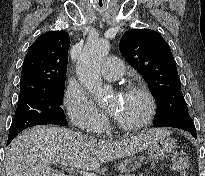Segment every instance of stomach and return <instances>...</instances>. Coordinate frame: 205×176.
<instances>
[{
  "mask_svg": "<svg viewBox=\"0 0 205 176\" xmlns=\"http://www.w3.org/2000/svg\"><path fill=\"white\" fill-rule=\"evenodd\" d=\"M176 143L175 141L170 138L168 135L159 138L153 144L148 147V158L151 161L155 160H163L167 156H169ZM145 162V157L142 156H132L128 159L124 160L119 165V170L121 172H132L140 168L143 163Z\"/></svg>",
  "mask_w": 205,
  "mask_h": 176,
  "instance_id": "1",
  "label": "stomach"
}]
</instances>
